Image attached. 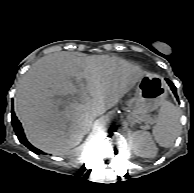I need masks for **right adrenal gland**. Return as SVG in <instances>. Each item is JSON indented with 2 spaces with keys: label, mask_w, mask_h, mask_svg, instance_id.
Listing matches in <instances>:
<instances>
[{
  "label": "right adrenal gland",
  "mask_w": 194,
  "mask_h": 193,
  "mask_svg": "<svg viewBox=\"0 0 194 193\" xmlns=\"http://www.w3.org/2000/svg\"><path fill=\"white\" fill-rule=\"evenodd\" d=\"M91 122H92V120L89 122V125H88V127H87V131L90 130V124H91Z\"/></svg>",
  "instance_id": "2a0ac1e0"
}]
</instances>
